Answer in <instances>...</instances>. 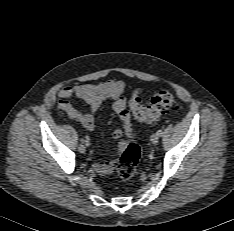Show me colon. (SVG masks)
I'll use <instances>...</instances> for the list:
<instances>
[{
	"instance_id": "colon-1",
	"label": "colon",
	"mask_w": 234,
	"mask_h": 231,
	"mask_svg": "<svg viewBox=\"0 0 234 231\" xmlns=\"http://www.w3.org/2000/svg\"><path fill=\"white\" fill-rule=\"evenodd\" d=\"M129 106L133 116L138 121L153 123L162 113L175 106V98L171 92L161 90L151 98L147 106H144L140 92L134 91L131 95ZM133 135L134 131L132 129L130 136ZM115 136L120 138L122 131L118 130ZM140 154L141 150L137 143L134 141L126 143L117 166V174L122 181L128 182L134 177Z\"/></svg>"
}]
</instances>
